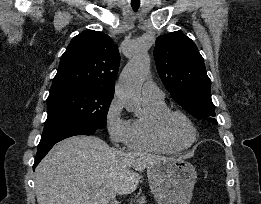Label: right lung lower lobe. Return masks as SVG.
Here are the masks:
<instances>
[{"mask_svg": "<svg viewBox=\"0 0 261 204\" xmlns=\"http://www.w3.org/2000/svg\"><path fill=\"white\" fill-rule=\"evenodd\" d=\"M97 129L98 128L95 127L81 126L58 129L42 134L41 141L37 148L33 170H35V167L38 165V163L57 142L75 135H92Z\"/></svg>", "mask_w": 261, "mask_h": 204, "instance_id": "right-lung-lower-lobe-1", "label": "right lung lower lobe"}]
</instances>
